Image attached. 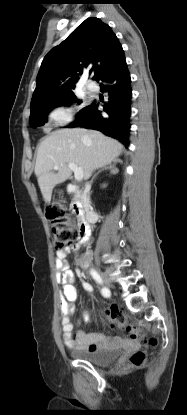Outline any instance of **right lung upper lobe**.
<instances>
[{
    "label": "right lung upper lobe",
    "mask_w": 187,
    "mask_h": 415,
    "mask_svg": "<svg viewBox=\"0 0 187 415\" xmlns=\"http://www.w3.org/2000/svg\"><path fill=\"white\" fill-rule=\"evenodd\" d=\"M123 51L111 28L100 19L82 22L60 45L51 49L42 61L31 100V110L59 102L73 92L86 68L101 74Z\"/></svg>",
    "instance_id": "obj_1"
}]
</instances>
